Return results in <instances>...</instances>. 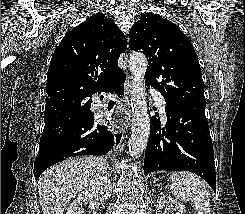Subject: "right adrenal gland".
Listing matches in <instances>:
<instances>
[{
  "instance_id": "obj_1",
  "label": "right adrenal gland",
  "mask_w": 245,
  "mask_h": 214,
  "mask_svg": "<svg viewBox=\"0 0 245 214\" xmlns=\"http://www.w3.org/2000/svg\"><path fill=\"white\" fill-rule=\"evenodd\" d=\"M107 169L109 170L108 172H107ZM110 172H111V168H110L109 164L107 163V166H106L104 173L107 174L108 176H110Z\"/></svg>"
}]
</instances>
